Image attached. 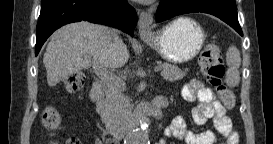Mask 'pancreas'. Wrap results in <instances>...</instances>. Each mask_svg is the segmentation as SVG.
Segmentation results:
<instances>
[{
  "label": "pancreas",
  "mask_w": 273,
  "mask_h": 144,
  "mask_svg": "<svg viewBox=\"0 0 273 144\" xmlns=\"http://www.w3.org/2000/svg\"><path fill=\"white\" fill-rule=\"evenodd\" d=\"M164 79L176 81L182 79L187 69L181 70L178 66L169 63H159ZM125 88L107 86L106 98L103 102V108L100 112L101 120L108 129L119 126L131 114L132 105L129 98L123 92Z\"/></svg>",
  "instance_id": "pancreas-1"
}]
</instances>
